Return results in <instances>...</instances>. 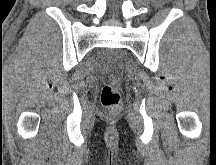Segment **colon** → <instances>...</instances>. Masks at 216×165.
Returning a JSON list of instances; mask_svg holds the SVG:
<instances>
[{"mask_svg": "<svg viewBox=\"0 0 216 165\" xmlns=\"http://www.w3.org/2000/svg\"><path fill=\"white\" fill-rule=\"evenodd\" d=\"M121 80L113 78L101 91V103L110 113L118 112L121 103Z\"/></svg>", "mask_w": 216, "mask_h": 165, "instance_id": "5ec220e1", "label": "colon"}]
</instances>
